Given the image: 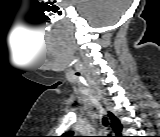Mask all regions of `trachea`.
I'll use <instances>...</instances> for the list:
<instances>
[{
	"mask_svg": "<svg viewBox=\"0 0 160 137\" xmlns=\"http://www.w3.org/2000/svg\"><path fill=\"white\" fill-rule=\"evenodd\" d=\"M102 123H103V125H105V126L108 125V122H107L106 118H103V119H102ZM108 137H111V136H108Z\"/></svg>",
	"mask_w": 160,
	"mask_h": 137,
	"instance_id": "3493384b",
	"label": "trachea"
}]
</instances>
